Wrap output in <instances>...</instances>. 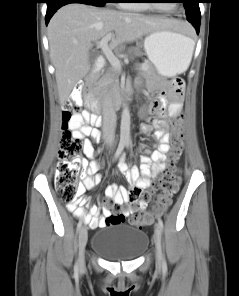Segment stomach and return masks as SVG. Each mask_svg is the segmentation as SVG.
Here are the masks:
<instances>
[{
  "instance_id": "1",
  "label": "stomach",
  "mask_w": 239,
  "mask_h": 296,
  "mask_svg": "<svg viewBox=\"0 0 239 296\" xmlns=\"http://www.w3.org/2000/svg\"><path fill=\"white\" fill-rule=\"evenodd\" d=\"M192 39L172 31L160 29L149 33L144 40L146 55L163 77H174L186 69Z\"/></svg>"
}]
</instances>
